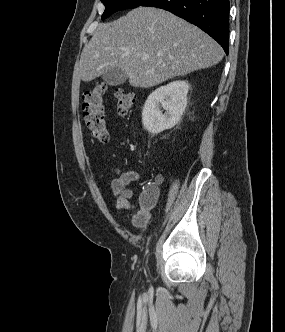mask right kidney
<instances>
[{
	"instance_id": "obj_1",
	"label": "right kidney",
	"mask_w": 285,
	"mask_h": 332,
	"mask_svg": "<svg viewBox=\"0 0 285 332\" xmlns=\"http://www.w3.org/2000/svg\"><path fill=\"white\" fill-rule=\"evenodd\" d=\"M188 90V82L179 80L153 91L148 96L142 111L144 128L151 134L173 128L187 106ZM162 109L165 110L164 114Z\"/></svg>"
}]
</instances>
